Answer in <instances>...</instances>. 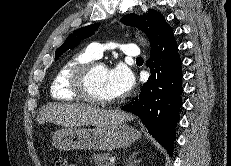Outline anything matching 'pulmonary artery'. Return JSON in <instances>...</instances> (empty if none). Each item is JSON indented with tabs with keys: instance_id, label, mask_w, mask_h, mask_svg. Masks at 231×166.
Instances as JSON below:
<instances>
[{
	"instance_id": "1",
	"label": "pulmonary artery",
	"mask_w": 231,
	"mask_h": 166,
	"mask_svg": "<svg viewBox=\"0 0 231 166\" xmlns=\"http://www.w3.org/2000/svg\"><path fill=\"white\" fill-rule=\"evenodd\" d=\"M117 48L121 50L125 55L129 57H140V50L138 46L134 43H126V44H116V43H107V44H101L98 42H94L89 45V50L91 53L96 57L100 58L104 51L108 49H114Z\"/></svg>"
}]
</instances>
